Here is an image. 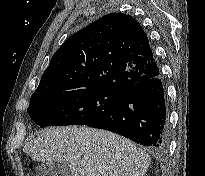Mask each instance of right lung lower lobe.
<instances>
[{"label":"right lung lower lobe","mask_w":205,"mask_h":176,"mask_svg":"<svg viewBox=\"0 0 205 176\" xmlns=\"http://www.w3.org/2000/svg\"><path fill=\"white\" fill-rule=\"evenodd\" d=\"M89 127L105 129L156 152L168 147V116L160 74L134 84Z\"/></svg>","instance_id":"98d812e1"}]
</instances>
